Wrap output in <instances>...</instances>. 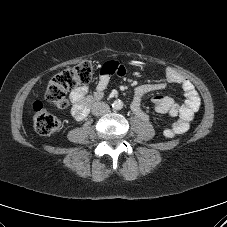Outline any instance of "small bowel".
Listing matches in <instances>:
<instances>
[{
    "label": "small bowel",
    "instance_id": "obj_1",
    "mask_svg": "<svg viewBox=\"0 0 227 227\" xmlns=\"http://www.w3.org/2000/svg\"><path fill=\"white\" fill-rule=\"evenodd\" d=\"M124 67L118 62L110 61L101 68V75L97 83L93 98H100L108 88L113 76L124 75ZM166 82L177 84L182 89L185 100L182 103L176 102L173 98L164 95H156L153 98L155 111L158 113H168L176 118L171 127L164 129L163 135L166 138H174L184 134L189 129L194 114L198 111L201 100L193 83L178 73L175 69L168 67L165 70ZM166 88V83L144 84L138 86L134 91L131 110L142 120H148L149 115L142 108V100L149 93L160 91ZM89 90L86 86L75 88L71 94L72 102L71 115L76 120H82L88 114ZM92 98V99H93Z\"/></svg>",
    "mask_w": 227,
    "mask_h": 227
}]
</instances>
